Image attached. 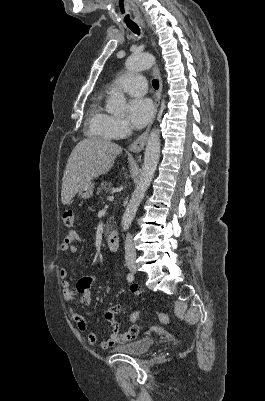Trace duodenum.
<instances>
[{"mask_svg": "<svg viewBox=\"0 0 265 401\" xmlns=\"http://www.w3.org/2000/svg\"><path fill=\"white\" fill-rule=\"evenodd\" d=\"M106 243L110 251H117L119 246V237L117 232H111L107 236Z\"/></svg>", "mask_w": 265, "mask_h": 401, "instance_id": "obj_1", "label": "duodenum"}]
</instances>
